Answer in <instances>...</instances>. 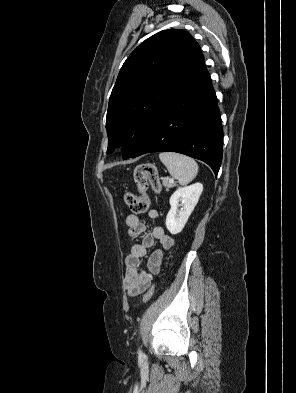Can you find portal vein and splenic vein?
I'll return each instance as SVG.
<instances>
[{
	"label": "portal vein and splenic vein",
	"instance_id": "portal-vein-and-splenic-vein-1",
	"mask_svg": "<svg viewBox=\"0 0 296 393\" xmlns=\"http://www.w3.org/2000/svg\"><path fill=\"white\" fill-rule=\"evenodd\" d=\"M169 182H170V183H174V180H173V179H169Z\"/></svg>",
	"mask_w": 296,
	"mask_h": 393
}]
</instances>
